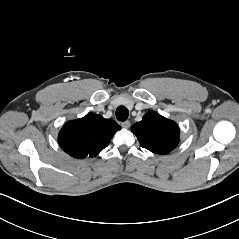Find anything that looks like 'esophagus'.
<instances>
[{"mask_svg":"<svg viewBox=\"0 0 239 239\" xmlns=\"http://www.w3.org/2000/svg\"><path fill=\"white\" fill-rule=\"evenodd\" d=\"M130 125H131L130 121H124L121 123V126L126 129H128L130 127Z\"/></svg>","mask_w":239,"mask_h":239,"instance_id":"obj_1","label":"esophagus"}]
</instances>
